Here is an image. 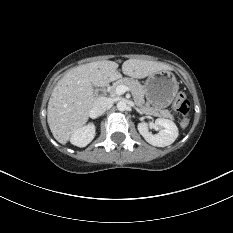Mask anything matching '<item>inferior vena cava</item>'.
I'll return each instance as SVG.
<instances>
[{"label":"inferior vena cava","instance_id":"1","mask_svg":"<svg viewBox=\"0 0 233 233\" xmlns=\"http://www.w3.org/2000/svg\"><path fill=\"white\" fill-rule=\"evenodd\" d=\"M110 106V99L106 97H99L94 101L91 112L95 116H101Z\"/></svg>","mask_w":233,"mask_h":233}]
</instances>
